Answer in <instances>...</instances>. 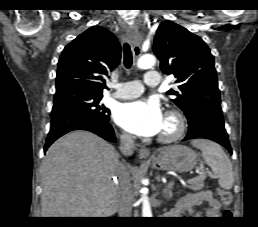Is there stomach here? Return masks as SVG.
<instances>
[{
	"label": "stomach",
	"mask_w": 258,
	"mask_h": 227,
	"mask_svg": "<svg viewBox=\"0 0 258 227\" xmlns=\"http://www.w3.org/2000/svg\"><path fill=\"white\" fill-rule=\"evenodd\" d=\"M197 165V154L183 145L163 148L153 160L152 166L157 170L187 172Z\"/></svg>",
	"instance_id": "1"
}]
</instances>
